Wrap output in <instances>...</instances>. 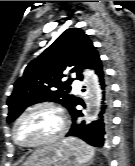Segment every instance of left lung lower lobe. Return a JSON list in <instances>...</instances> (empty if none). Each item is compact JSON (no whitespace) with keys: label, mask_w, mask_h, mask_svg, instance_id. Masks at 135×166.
Masks as SVG:
<instances>
[{"label":"left lung lower lobe","mask_w":135,"mask_h":166,"mask_svg":"<svg viewBox=\"0 0 135 166\" xmlns=\"http://www.w3.org/2000/svg\"><path fill=\"white\" fill-rule=\"evenodd\" d=\"M88 68L93 69L99 79L101 97L99 114L97 120L93 121L89 125H85L84 121H82L81 124H76L75 121L77 117L83 116V114L80 110L75 108L76 105L80 103L74 100L69 109L74 122L66 136H76L94 147L102 148L108 144L110 138V130L112 125L111 90L109 82L103 71L99 54L93 58Z\"/></svg>","instance_id":"left-lung-lower-lobe-1"}]
</instances>
